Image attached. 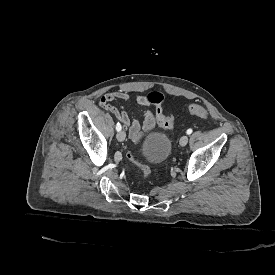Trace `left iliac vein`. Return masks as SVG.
<instances>
[{"mask_svg": "<svg viewBox=\"0 0 275 275\" xmlns=\"http://www.w3.org/2000/svg\"><path fill=\"white\" fill-rule=\"evenodd\" d=\"M188 141H189V137L184 135V136L181 137L179 143L182 147H184V146L187 145Z\"/></svg>", "mask_w": 275, "mask_h": 275, "instance_id": "obj_1", "label": "left iliac vein"}]
</instances>
